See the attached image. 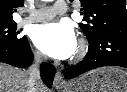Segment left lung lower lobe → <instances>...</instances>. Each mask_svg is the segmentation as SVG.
<instances>
[{
  "label": "left lung lower lobe",
  "instance_id": "1",
  "mask_svg": "<svg viewBox=\"0 0 127 92\" xmlns=\"http://www.w3.org/2000/svg\"><path fill=\"white\" fill-rule=\"evenodd\" d=\"M102 66L127 68V33L102 32L89 41L87 55L78 64L68 67L63 74L66 79L74 78Z\"/></svg>",
  "mask_w": 127,
  "mask_h": 92
}]
</instances>
